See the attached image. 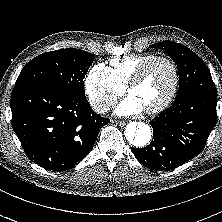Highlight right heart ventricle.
<instances>
[{"label":"right heart ventricle","instance_id":"right-heart-ventricle-1","mask_svg":"<svg viewBox=\"0 0 222 222\" xmlns=\"http://www.w3.org/2000/svg\"><path fill=\"white\" fill-rule=\"evenodd\" d=\"M155 57L154 54H132L125 57H116L110 60L111 71L116 80L126 86L136 70L146 61Z\"/></svg>","mask_w":222,"mask_h":222}]
</instances>
